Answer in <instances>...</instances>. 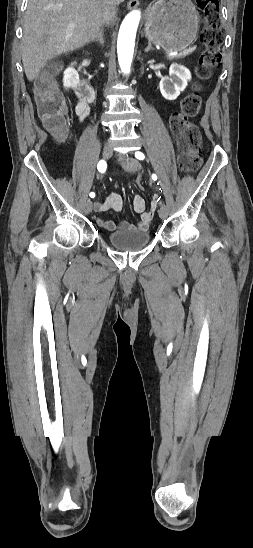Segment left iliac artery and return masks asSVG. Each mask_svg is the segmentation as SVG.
I'll return each instance as SVG.
<instances>
[{
  "instance_id": "left-iliac-artery-1",
  "label": "left iliac artery",
  "mask_w": 253,
  "mask_h": 548,
  "mask_svg": "<svg viewBox=\"0 0 253 548\" xmlns=\"http://www.w3.org/2000/svg\"><path fill=\"white\" fill-rule=\"evenodd\" d=\"M135 157L139 160H143L145 158L144 154L142 152H136L135 153ZM152 179L153 180H157V175L156 174H153L152 175Z\"/></svg>"
}]
</instances>
